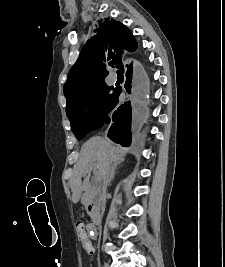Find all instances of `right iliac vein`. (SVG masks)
Here are the masks:
<instances>
[{"mask_svg": "<svg viewBox=\"0 0 225 267\" xmlns=\"http://www.w3.org/2000/svg\"><path fill=\"white\" fill-rule=\"evenodd\" d=\"M103 267H109V266H108V264L104 263V264H103Z\"/></svg>", "mask_w": 225, "mask_h": 267, "instance_id": "obj_1", "label": "right iliac vein"}]
</instances>
